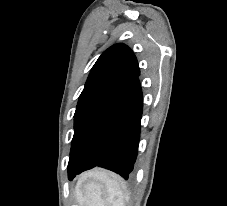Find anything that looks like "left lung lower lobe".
<instances>
[{
	"instance_id": "1",
	"label": "left lung lower lobe",
	"mask_w": 227,
	"mask_h": 206,
	"mask_svg": "<svg viewBox=\"0 0 227 206\" xmlns=\"http://www.w3.org/2000/svg\"><path fill=\"white\" fill-rule=\"evenodd\" d=\"M139 75L130 81L108 104L101 115L84 158L68 169V178L104 167L128 179L137 157L143 96Z\"/></svg>"
}]
</instances>
